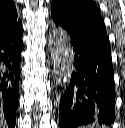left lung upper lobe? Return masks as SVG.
Returning <instances> with one entry per match:
<instances>
[{"mask_svg":"<svg viewBox=\"0 0 125 128\" xmlns=\"http://www.w3.org/2000/svg\"><path fill=\"white\" fill-rule=\"evenodd\" d=\"M51 15L56 26L68 32L109 43L104 21L94 0H53Z\"/></svg>","mask_w":125,"mask_h":128,"instance_id":"1","label":"left lung upper lobe"}]
</instances>
